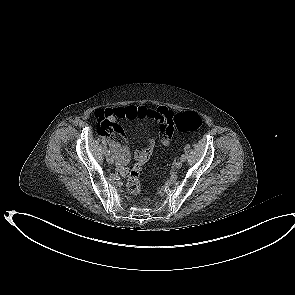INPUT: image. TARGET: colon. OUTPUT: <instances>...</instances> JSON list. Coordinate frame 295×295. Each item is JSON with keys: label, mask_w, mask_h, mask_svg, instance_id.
I'll return each instance as SVG.
<instances>
[{"label": "colon", "mask_w": 295, "mask_h": 295, "mask_svg": "<svg viewBox=\"0 0 295 295\" xmlns=\"http://www.w3.org/2000/svg\"><path fill=\"white\" fill-rule=\"evenodd\" d=\"M202 119L200 115L194 111H186L184 113L174 114L168 113L160 124L162 131L178 130L181 132H194L201 128ZM147 148L136 155V163L129 172L126 186L128 192L133 196H138L141 193L140 174L151 157L152 151L156 149L155 138L148 136L146 138Z\"/></svg>", "instance_id": "colon-1"}]
</instances>
